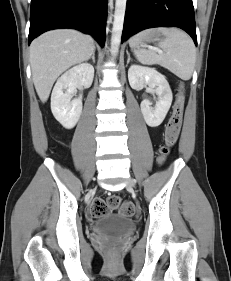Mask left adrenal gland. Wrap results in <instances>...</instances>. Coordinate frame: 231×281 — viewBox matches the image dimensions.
<instances>
[{
	"instance_id": "obj_1",
	"label": "left adrenal gland",
	"mask_w": 231,
	"mask_h": 281,
	"mask_svg": "<svg viewBox=\"0 0 231 281\" xmlns=\"http://www.w3.org/2000/svg\"><path fill=\"white\" fill-rule=\"evenodd\" d=\"M127 56H128V59H127V65L129 64L130 60H131V57H130V54L129 52L127 51Z\"/></svg>"
}]
</instances>
